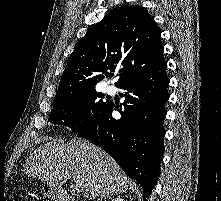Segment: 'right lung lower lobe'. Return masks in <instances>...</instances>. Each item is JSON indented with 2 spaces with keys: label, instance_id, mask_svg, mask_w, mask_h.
<instances>
[{
  "label": "right lung lower lobe",
  "instance_id": "obj_1",
  "mask_svg": "<svg viewBox=\"0 0 221 201\" xmlns=\"http://www.w3.org/2000/svg\"><path fill=\"white\" fill-rule=\"evenodd\" d=\"M163 60L154 69L131 77L117 87L126 90L125 101L117 109L120 119L112 117L113 102L100 118L79 131L106 151L143 189L145 200L154 188L164 152L165 130L162 121L166 115L164 104L169 99Z\"/></svg>",
  "mask_w": 221,
  "mask_h": 201
}]
</instances>
